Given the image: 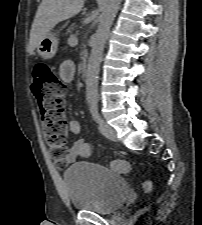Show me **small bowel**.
Masks as SVG:
<instances>
[{
	"instance_id": "small-bowel-1",
	"label": "small bowel",
	"mask_w": 202,
	"mask_h": 225,
	"mask_svg": "<svg viewBox=\"0 0 202 225\" xmlns=\"http://www.w3.org/2000/svg\"><path fill=\"white\" fill-rule=\"evenodd\" d=\"M76 74V66L72 60H66L59 67V76L65 82L73 81ZM69 132L79 134L81 123L77 118H69L67 121ZM91 156V144L84 138L77 139L69 148L67 155L61 159L63 165H70L78 159H87Z\"/></svg>"
}]
</instances>
